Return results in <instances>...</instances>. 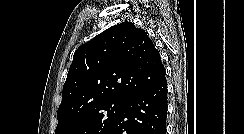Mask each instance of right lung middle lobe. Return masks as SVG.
Wrapping results in <instances>:
<instances>
[{"instance_id":"dd1d6c3e","label":"right lung middle lobe","mask_w":244,"mask_h":134,"mask_svg":"<svg viewBox=\"0 0 244 134\" xmlns=\"http://www.w3.org/2000/svg\"><path fill=\"white\" fill-rule=\"evenodd\" d=\"M126 99L92 104L72 117L58 120L55 134H103L118 117Z\"/></svg>"}]
</instances>
